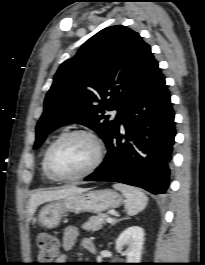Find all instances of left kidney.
Instances as JSON below:
<instances>
[{"label":"left kidney","mask_w":205,"mask_h":265,"mask_svg":"<svg viewBox=\"0 0 205 265\" xmlns=\"http://www.w3.org/2000/svg\"><path fill=\"white\" fill-rule=\"evenodd\" d=\"M144 243V230L139 226H131L124 230L116 240V249L121 251L127 246L128 263H140Z\"/></svg>","instance_id":"1"}]
</instances>
